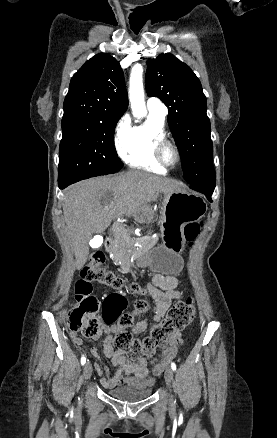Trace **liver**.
<instances>
[{
  "label": "liver",
  "instance_id": "6515ba94",
  "mask_svg": "<svg viewBox=\"0 0 277 438\" xmlns=\"http://www.w3.org/2000/svg\"><path fill=\"white\" fill-rule=\"evenodd\" d=\"M158 192H175L171 180L139 170H129L117 178H91L69 186L63 214L77 270L88 260L92 234H103L119 210L128 218L137 214L144 204L155 202Z\"/></svg>",
  "mask_w": 277,
  "mask_h": 438
}]
</instances>
